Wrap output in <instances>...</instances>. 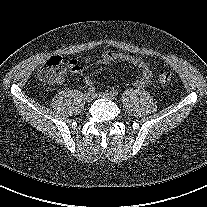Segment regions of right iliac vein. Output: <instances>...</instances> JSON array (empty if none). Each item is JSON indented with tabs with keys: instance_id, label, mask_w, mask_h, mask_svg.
<instances>
[{
	"instance_id": "right-iliac-vein-1",
	"label": "right iliac vein",
	"mask_w": 207,
	"mask_h": 207,
	"mask_svg": "<svg viewBox=\"0 0 207 207\" xmlns=\"http://www.w3.org/2000/svg\"><path fill=\"white\" fill-rule=\"evenodd\" d=\"M93 98H94V96L90 92H87V93L84 94V100L86 102H91L93 100Z\"/></svg>"
}]
</instances>
